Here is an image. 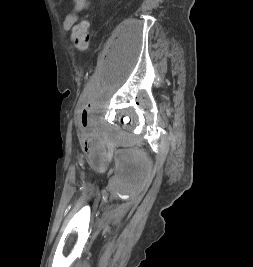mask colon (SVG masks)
I'll return each instance as SVG.
<instances>
[{
    "mask_svg": "<svg viewBox=\"0 0 253 267\" xmlns=\"http://www.w3.org/2000/svg\"><path fill=\"white\" fill-rule=\"evenodd\" d=\"M90 40V28L87 21H81L76 24L72 29V41L74 46L84 51L88 48Z\"/></svg>",
    "mask_w": 253,
    "mask_h": 267,
    "instance_id": "colon-1",
    "label": "colon"
}]
</instances>
